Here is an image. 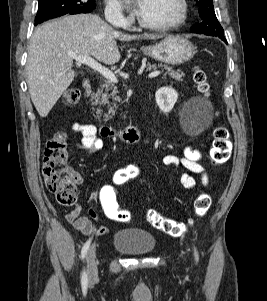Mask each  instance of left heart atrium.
Masks as SVG:
<instances>
[{"label": "left heart atrium", "mask_w": 267, "mask_h": 301, "mask_svg": "<svg viewBox=\"0 0 267 301\" xmlns=\"http://www.w3.org/2000/svg\"><path fill=\"white\" fill-rule=\"evenodd\" d=\"M143 0H127L126 3L132 7L135 13L139 14L142 7Z\"/></svg>", "instance_id": "1"}]
</instances>
